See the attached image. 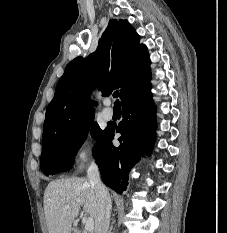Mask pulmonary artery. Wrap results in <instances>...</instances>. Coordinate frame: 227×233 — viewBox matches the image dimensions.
<instances>
[{"mask_svg":"<svg viewBox=\"0 0 227 233\" xmlns=\"http://www.w3.org/2000/svg\"><path fill=\"white\" fill-rule=\"evenodd\" d=\"M104 104L106 107L102 111V116L105 120H111L114 116V113H113V110L109 107L110 100L106 99Z\"/></svg>","mask_w":227,"mask_h":233,"instance_id":"e3ab8cb5","label":"pulmonary artery"}]
</instances>
